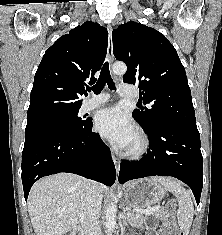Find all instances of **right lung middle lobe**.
Returning <instances> with one entry per match:
<instances>
[{"instance_id": "dd1d6c3e", "label": "right lung middle lobe", "mask_w": 222, "mask_h": 235, "mask_svg": "<svg viewBox=\"0 0 222 235\" xmlns=\"http://www.w3.org/2000/svg\"><path fill=\"white\" fill-rule=\"evenodd\" d=\"M81 104L59 108L48 114L28 118L25 142L52 132H73L82 127L86 120L78 117Z\"/></svg>"}]
</instances>
